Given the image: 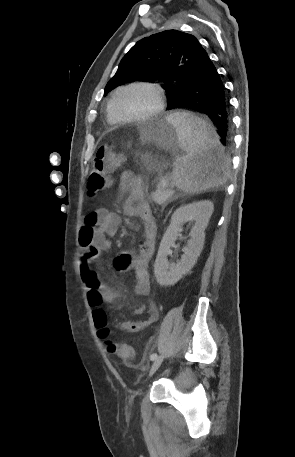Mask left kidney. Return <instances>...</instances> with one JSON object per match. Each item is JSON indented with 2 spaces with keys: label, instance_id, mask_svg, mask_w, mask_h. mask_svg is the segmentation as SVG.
Returning <instances> with one entry per match:
<instances>
[{
  "label": "left kidney",
  "instance_id": "5707ae66",
  "mask_svg": "<svg viewBox=\"0 0 295 457\" xmlns=\"http://www.w3.org/2000/svg\"><path fill=\"white\" fill-rule=\"evenodd\" d=\"M213 210V203L209 200L187 204L175 210L171 217L170 225L161 240L154 264V274L160 286L166 287L176 284L193 268L202 252L205 229L208 226ZM193 220L195 224L189 233L191 239L183 249L184 254L176 264L169 265L167 256L171 246L182 231V225Z\"/></svg>",
  "mask_w": 295,
  "mask_h": 457
}]
</instances>
